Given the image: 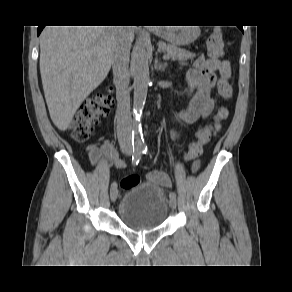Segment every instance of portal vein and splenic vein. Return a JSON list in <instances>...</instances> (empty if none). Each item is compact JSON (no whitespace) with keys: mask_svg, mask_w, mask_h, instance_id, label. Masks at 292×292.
Listing matches in <instances>:
<instances>
[{"mask_svg":"<svg viewBox=\"0 0 292 292\" xmlns=\"http://www.w3.org/2000/svg\"><path fill=\"white\" fill-rule=\"evenodd\" d=\"M163 57H164V58H168V56H167V55H164Z\"/></svg>","mask_w":292,"mask_h":292,"instance_id":"1","label":"portal vein and splenic vein"}]
</instances>
